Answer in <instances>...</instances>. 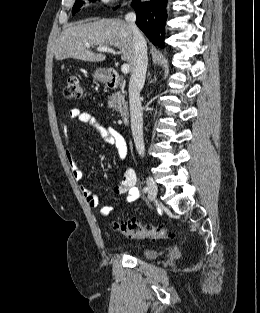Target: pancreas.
<instances>
[{"mask_svg":"<svg viewBox=\"0 0 260 313\" xmlns=\"http://www.w3.org/2000/svg\"><path fill=\"white\" fill-rule=\"evenodd\" d=\"M125 96L126 93L123 90L113 93L108 101L109 107L113 108L116 111H119L126 107Z\"/></svg>","mask_w":260,"mask_h":313,"instance_id":"pancreas-1","label":"pancreas"}]
</instances>
